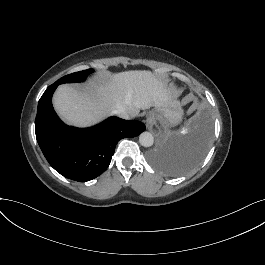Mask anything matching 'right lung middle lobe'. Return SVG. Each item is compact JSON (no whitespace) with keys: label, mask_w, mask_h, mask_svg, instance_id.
<instances>
[{"label":"right lung middle lobe","mask_w":265,"mask_h":265,"mask_svg":"<svg viewBox=\"0 0 265 265\" xmlns=\"http://www.w3.org/2000/svg\"><path fill=\"white\" fill-rule=\"evenodd\" d=\"M90 73H92V69L75 72L60 78L56 83L59 85L62 83L82 82Z\"/></svg>","instance_id":"right-lung-middle-lobe-1"}]
</instances>
